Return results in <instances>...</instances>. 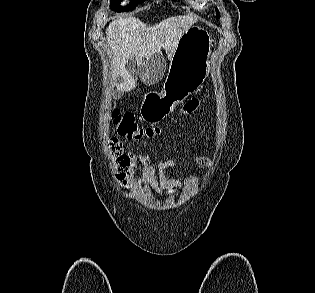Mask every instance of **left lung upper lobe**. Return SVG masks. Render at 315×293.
<instances>
[{
  "label": "left lung upper lobe",
  "instance_id": "obj_1",
  "mask_svg": "<svg viewBox=\"0 0 315 293\" xmlns=\"http://www.w3.org/2000/svg\"><path fill=\"white\" fill-rule=\"evenodd\" d=\"M216 14H217V18H219L220 16H219V11L217 8H216Z\"/></svg>",
  "mask_w": 315,
  "mask_h": 293
}]
</instances>
